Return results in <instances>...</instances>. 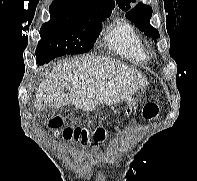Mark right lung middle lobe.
Masks as SVG:
<instances>
[{
  "mask_svg": "<svg viewBox=\"0 0 197 181\" xmlns=\"http://www.w3.org/2000/svg\"><path fill=\"white\" fill-rule=\"evenodd\" d=\"M109 16L65 18L51 15V19L40 30L41 40L35 52L37 62L44 64L66 54L88 52L101 32L103 21Z\"/></svg>",
  "mask_w": 197,
  "mask_h": 181,
  "instance_id": "right-lung-middle-lobe-1",
  "label": "right lung middle lobe"
}]
</instances>
